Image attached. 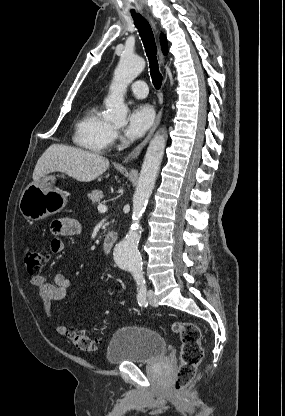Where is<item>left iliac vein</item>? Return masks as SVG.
<instances>
[{
    "label": "left iliac vein",
    "mask_w": 285,
    "mask_h": 416,
    "mask_svg": "<svg viewBox=\"0 0 285 416\" xmlns=\"http://www.w3.org/2000/svg\"><path fill=\"white\" fill-rule=\"evenodd\" d=\"M147 295H148V301H149V303L152 306L157 307L158 306V302H157V299H156V297L154 295V291L152 289L148 290Z\"/></svg>",
    "instance_id": "4c4485c4"
}]
</instances>
